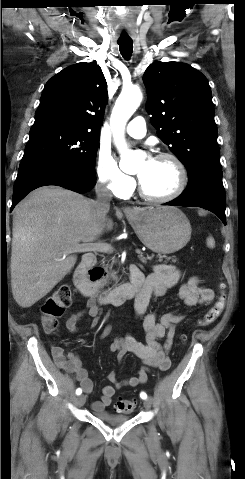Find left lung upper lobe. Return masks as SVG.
I'll list each match as a JSON object with an SVG mask.
<instances>
[{
  "instance_id": "5c2ea615",
  "label": "left lung upper lobe",
  "mask_w": 245,
  "mask_h": 479,
  "mask_svg": "<svg viewBox=\"0 0 245 479\" xmlns=\"http://www.w3.org/2000/svg\"><path fill=\"white\" fill-rule=\"evenodd\" d=\"M147 112L188 177L220 163L212 93L206 77L185 63L155 62L145 71Z\"/></svg>"
}]
</instances>
